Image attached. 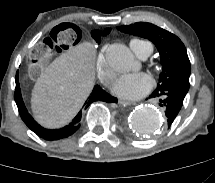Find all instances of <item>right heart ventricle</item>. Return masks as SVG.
I'll return each instance as SVG.
<instances>
[{
	"instance_id": "1",
	"label": "right heart ventricle",
	"mask_w": 215,
	"mask_h": 183,
	"mask_svg": "<svg viewBox=\"0 0 215 183\" xmlns=\"http://www.w3.org/2000/svg\"><path fill=\"white\" fill-rule=\"evenodd\" d=\"M130 46L138 57H141L144 53L150 55L153 50V46L150 42L141 39H133L130 42Z\"/></svg>"
}]
</instances>
